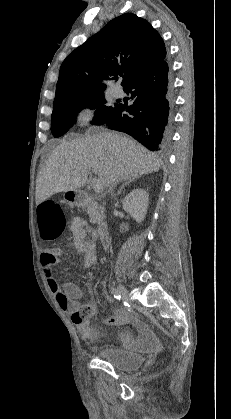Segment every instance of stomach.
<instances>
[{
	"mask_svg": "<svg viewBox=\"0 0 231 419\" xmlns=\"http://www.w3.org/2000/svg\"><path fill=\"white\" fill-rule=\"evenodd\" d=\"M64 199L70 205H80L79 194L76 190L65 192Z\"/></svg>",
	"mask_w": 231,
	"mask_h": 419,
	"instance_id": "obj_1",
	"label": "stomach"
}]
</instances>
